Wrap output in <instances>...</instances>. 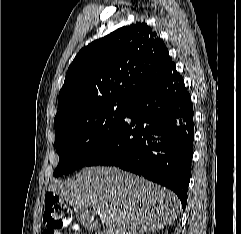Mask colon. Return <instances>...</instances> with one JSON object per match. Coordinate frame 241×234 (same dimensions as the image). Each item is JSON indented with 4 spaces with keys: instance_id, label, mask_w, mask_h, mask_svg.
Here are the masks:
<instances>
[{
    "instance_id": "obj_1",
    "label": "colon",
    "mask_w": 241,
    "mask_h": 234,
    "mask_svg": "<svg viewBox=\"0 0 241 234\" xmlns=\"http://www.w3.org/2000/svg\"><path fill=\"white\" fill-rule=\"evenodd\" d=\"M43 222L48 228L46 230L60 229L71 222L70 209L57 195L53 193H48L46 195Z\"/></svg>"
}]
</instances>
